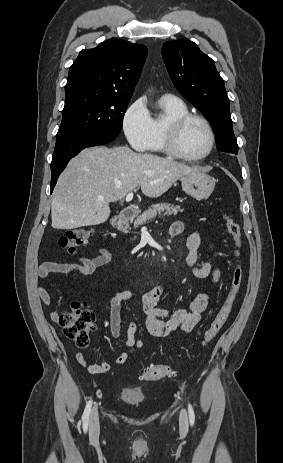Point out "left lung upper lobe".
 <instances>
[{"label": "left lung upper lobe", "instance_id": "5c2ea615", "mask_svg": "<svg viewBox=\"0 0 283 463\" xmlns=\"http://www.w3.org/2000/svg\"><path fill=\"white\" fill-rule=\"evenodd\" d=\"M162 56L174 86L210 121L217 150L237 154L229 98L214 61L187 38L164 43Z\"/></svg>", "mask_w": 283, "mask_h": 463}]
</instances>
